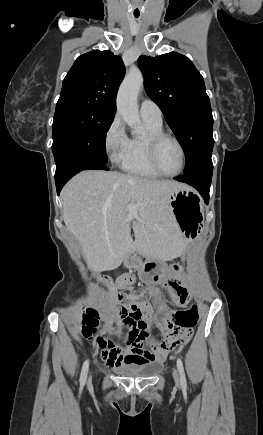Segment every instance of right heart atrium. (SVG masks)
Here are the masks:
<instances>
[{
    "label": "right heart atrium",
    "mask_w": 263,
    "mask_h": 435,
    "mask_svg": "<svg viewBox=\"0 0 263 435\" xmlns=\"http://www.w3.org/2000/svg\"><path fill=\"white\" fill-rule=\"evenodd\" d=\"M128 139L121 118L115 116L108 125L104 135V148L113 163H121Z\"/></svg>",
    "instance_id": "obj_1"
}]
</instances>
